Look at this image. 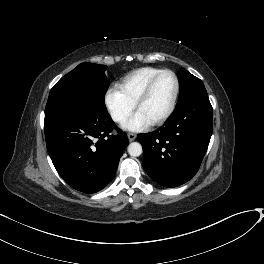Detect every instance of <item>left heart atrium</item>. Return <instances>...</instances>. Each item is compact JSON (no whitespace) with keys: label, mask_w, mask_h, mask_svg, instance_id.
<instances>
[{"label":"left heart atrium","mask_w":264,"mask_h":264,"mask_svg":"<svg viewBox=\"0 0 264 264\" xmlns=\"http://www.w3.org/2000/svg\"><path fill=\"white\" fill-rule=\"evenodd\" d=\"M150 122L139 112H136L126 123L124 127L131 131H138L146 128Z\"/></svg>","instance_id":"left-heart-atrium-1"}]
</instances>
